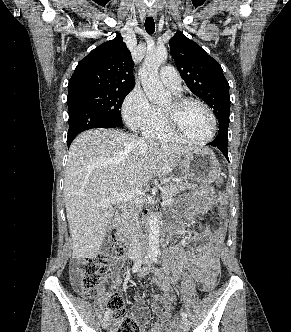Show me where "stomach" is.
<instances>
[{
	"label": "stomach",
	"mask_w": 291,
	"mask_h": 332,
	"mask_svg": "<svg viewBox=\"0 0 291 332\" xmlns=\"http://www.w3.org/2000/svg\"><path fill=\"white\" fill-rule=\"evenodd\" d=\"M180 167L188 179L205 185L184 197V200L193 206L194 211L204 210L210 202V190L207 185L214 182L220 172L214 152L207 147L190 151L184 155Z\"/></svg>",
	"instance_id": "0dacf381"
}]
</instances>
